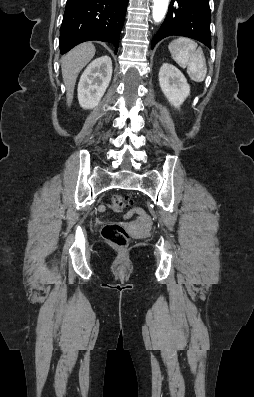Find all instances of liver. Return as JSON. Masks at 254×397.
<instances>
[{
  "instance_id": "1",
  "label": "liver",
  "mask_w": 254,
  "mask_h": 397,
  "mask_svg": "<svg viewBox=\"0 0 254 397\" xmlns=\"http://www.w3.org/2000/svg\"><path fill=\"white\" fill-rule=\"evenodd\" d=\"M96 49L90 42L83 43L72 49L61 59V70L66 86L67 105L70 106L73 99L76 79L80 71L94 57Z\"/></svg>"
}]
</instances>
